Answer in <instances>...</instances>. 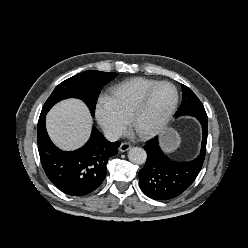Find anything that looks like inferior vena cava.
I'll return each mask as SVG.
<instances>
[{
    "instance_id": "inferior-vena-cava-1",
    "label": "inferior vena cava",
    "mask_w": 248,
    "mask_h": 248,
    "mask_svg": "<svg viewBox=\"0 0 248 248\" xmlns=\"http://www.w3.org/2000/svg\"><path fill=\"white\" fill-rule=\"evenodd\" d=\"M104 136L108 141L115 142L120 138L121 134L115 129L107 128L104 130Z\"/></svg>"
}]
</instances>
